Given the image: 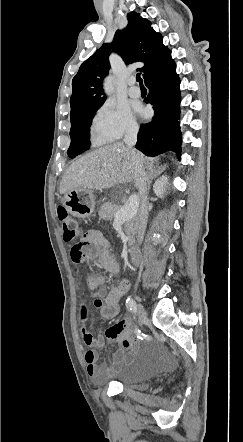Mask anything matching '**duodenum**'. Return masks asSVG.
<instances>
[{"mask_svg": "<svg viewBox=\"0 0 243 442\" xmlns=\"http://www.w3.org/2000/svg\"><path fill=\"white\" fill-rule=\"evenodd\" d=\"M129 259L132 264H138L140 262V254L137 249L131 248L129 250Z\"/></svg>", "mask_w": 243, "mask_h": 442, "instance_id": "1", "label": "duodenum"}]
</instances>
